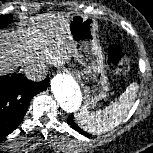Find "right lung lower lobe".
I'll return each mask as SVG.
<instances>
[{
    "instance_id": "1",
    "label": "right lung lower lobe",
    "mask_w": 153,
    "mask_h": 153,
    "mask_svg": "<svg viewBox=\"0 0 153 153\" xmlns=\"http://www.w3.org/2000/svg\"><path fill=\"white\" fill-rule=\"evenodd\" d=\"M48 85V79L33 82L20 74L0 76V138L20 125L31 99Z\"/></svg>"
}]
</instances>
